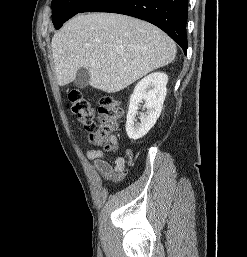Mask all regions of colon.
Returning a JSON list of instances; mask_svg holds the SVG:
<instances>
[{"mask_svg":"<svg viewBox=\"0 0 247 257\" xmlns=\"http://www.w3.org/2000/svg\"><path fill=\"white\" fill-rule=\"evenodd\" d=\"M68 103L71 110L78 116L85 129L90 131V141L107 151L116 149L112 132L117 129L122 117V109L110 95H104L98 102L97 109L91 101L78 90H71L68 94ZM98 114L99 125L95 118Z\"/></svg>","mask_w":247,"mask_h":257,"instance_id":"obj_1","label":"colon"}]
</instances>
